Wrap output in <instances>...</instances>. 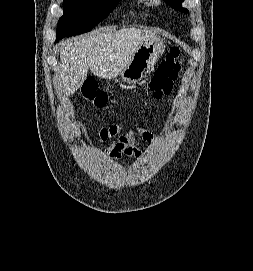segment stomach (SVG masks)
I'll use <instances>...</instances> for the list:
<instances>
[{
  "instance_id": "0dacf381",
  "label": "stomach",
  "mask_w": 253,
  "mask_h": 271,
  "mask_svg": "<svg viewBox=\"0 0 253 271\" xmlns=\"http://www.w3.org/2000/svg\"><path fill=\"white\" fill-rule=\"evenodd\" d=\"M164 50L161 39L142 43L134 53L130 63L119 76L124 82L136 83L146 77Z\"/></svg>"
}]
</instances>
